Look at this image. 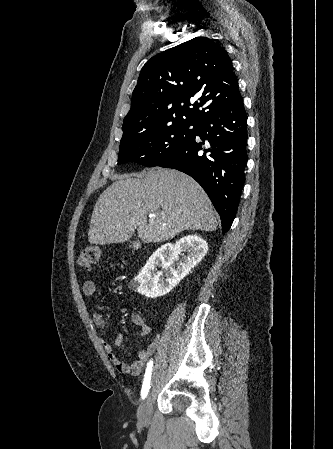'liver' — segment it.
Listing matches in <instances>:
<instances>
[{
  "instance_id": "1",
  "label": "liver",
  "mask_w": 333,
  "mask_h": 449,
  "mask_svg": "<svg viewBox=\"0 0 333 449\" xmlns=\"http://www.w3.org/2000/svg\"><path fill=\"white\" fill-rule=\"evenodd\" d=\"M153 214L147 222V215ZM212 203L190 176L173 169L123 175L95 204L88 231L91 244L127 241L137 229L144 243L163 242L184 230L214 231Z\"/></svg>"
}]
</instances>
